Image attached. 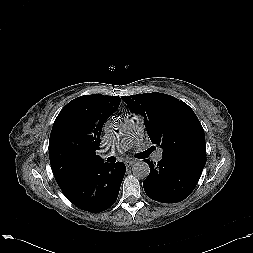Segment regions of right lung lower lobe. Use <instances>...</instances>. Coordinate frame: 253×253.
<instances>
[{"instance_id": "1", "label": "right lung lower lobe", "mask_w": 253, "mask_h": 253, "mask_svg": "<svg viewBox=\"0 0 253 253\" xmlns=\"http://www.w3.org/2000/svg\"><path fill=\"white\" fill-rule=\"evenodd\" d=\"M125 172L126 167L122 162L113 164L102 161L59 187L76 207L98 213L116 202Z\"/></svg>"}]
</instances>
